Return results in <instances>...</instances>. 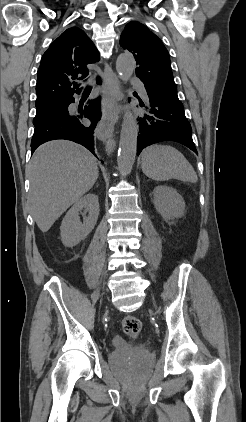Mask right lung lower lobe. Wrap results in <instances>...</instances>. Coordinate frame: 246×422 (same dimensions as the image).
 I'll list each match as a JSON object with an SVG mask.
<instances>
[{
	"mask_svg": "<svg viewBox=\"0 0 246 422\" xmlns=\"http://www.w3.org/2000/svg\"><path fill=\"white\" fill-rule=\"evenodd\" d=\"M97 83H101L99 78ZM73 102V97L61 102L62 109L57 115L33 123L35 130L31 140L32 153L47 141L66 139L83 145L95 155L94 129L101 118L100 98L90 101L89 106H85L78 114L68 111L69 104ZM82 118H88L91 125L83 124Z\"/></svg>",
	"mask_w": 246,
	"mask_h": 422,
	"instance_id": "obj_1",
	"label": "right lung lower lobe"
}]
</instances>
